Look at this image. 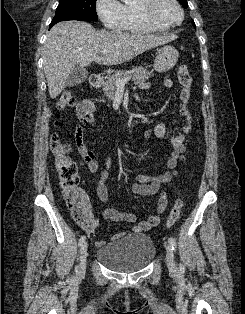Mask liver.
<instances>
[{"label":"liver","mask_w":245,"mask_h":314,"mask_svg":"<svg viewBox=\"0 0 245 314\" xmlns=\"http://www.w3.org/2000/svg\"><path fill=\"white\" fill-rule=\"evenodd\" d=\"M175 38V35L96 30L80 21L60 22L48 32L43 47L49 95L54 99L66 88L67 77L76 64L83 68L93 61L103 65L122 64ZM102 50L108 53L98 56Z\"/></svg>","instance_id":"1"}]
</instances>
